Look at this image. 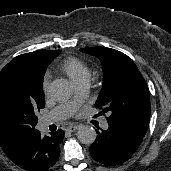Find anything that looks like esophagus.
I'll use <instances>...</instances> for the list:
<instances>
[{
  "label": "esophagus",
  "mask_w": 171,
  "mask_h": 171,
  "mask_svg": "<svg viewBox=\"0 0 171 171\" xmlns=\"http://www.w3.org/2000/svg\"><path fill=\"white\" fill-rule=\"evenodd\" d=\"M79 128H80L79 125H70V126L66 127L65 130L68 132H74V131L78 130Z\"/></svg>",
  "instance_id": "1"
}]
</instances>
